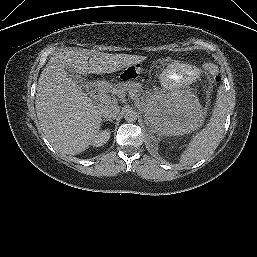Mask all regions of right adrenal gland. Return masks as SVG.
Instances as JSON below:
<instances>
[{
  "label": "right adrenal gland",
  "instance_id": "obj_1",
  "mask_svg": "<svg viewBox=\"0 0 257 257\" xmlns=\"http://www.w3.org/2000/svg\"><path fill=\"white\" fill-rule=\"evenodd\" d=\"M107 121L112 122L113 119H103V120H102V122H107Z\"/></svg>",
  "mask_w": 257,
  "mask_h": 257
}]
</instances>
